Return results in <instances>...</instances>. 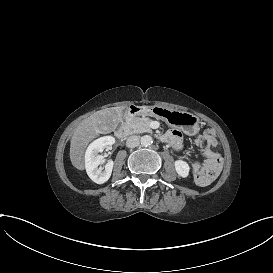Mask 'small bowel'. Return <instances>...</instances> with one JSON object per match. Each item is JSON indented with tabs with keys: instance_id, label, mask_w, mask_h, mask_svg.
Masks as SVG:
<instances>
[{
	"instance_id": "c3829d8e",
	"label": "small bowel",
	"mask_w": 273,
	"mask_h": 273,
	"mask_svg": "<svg viewBox=\"0 0 273 273\" xmlns=\"http://www.w3.org/2000/svg\"><path fill=\"white\" fill-rule=\"evenodd\" d=\"M163 139H164V141H166L168 143L174 144L173 148L177 152H179V153L184 152L185 147H184V145L181 144L184 140V134L181 130L174 129L172 131H169L165 135H163ZM199 141L200 142L205 141L208 143V145H214L216 140H215L213 131L210 129H205L202 132L201 136L199 137ZM209 154H214V155L218 156L214 151H212L210 149L209 146H207V148L205 149V152L203 153V156L205 157ZM220 160H221V158H220ZM193 170H194V174H196L199 172L200 168H199V166H194Z\"/></svg>"
}]
</instances>
